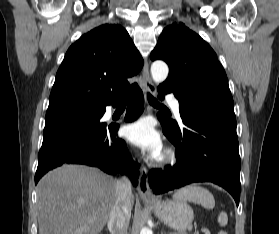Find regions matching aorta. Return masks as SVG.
<instances>
[{
  "instance_id": "obj_1",
  "label": "aorta",
  "mask_w": 279,
  "mask_h": 234,
  "mask_svg": "<svg viewBox=\"0 0 279 234\" xmlns=\"http://www.w3.org/2000/svg\"><path fill=\"white\" fill-rule=\"evenodd\" d=\"M169 73L168 66L165 62L157 60L151 65V76L156 83H162L166 80ZM140 234H153L152 230L144 227L141 229Z\"/></svg>"
}]
</instances>
